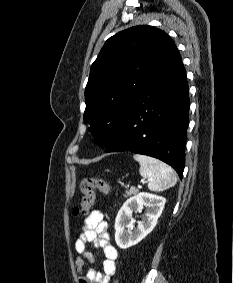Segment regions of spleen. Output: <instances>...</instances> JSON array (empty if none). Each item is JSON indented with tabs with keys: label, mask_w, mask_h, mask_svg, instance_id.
<instances>
[{
	"label": "spleen",
	"mask_w": 233,
	"mask_h": 283,
	"mask_svg": "<svg viewBox=\"0 0 233 283\" xmlns=\"http://www.w3.org/2000/svg\"><path fill=\"white\" fill-rule=\"evenodd\" d=\"M134 159L140 164V175L148 179L151 191H163L175 186L177 177L174 170L155 158L142 154H135Z\"/></svg>",
	"instance_id": "spleen-1"
}]
</instances>
